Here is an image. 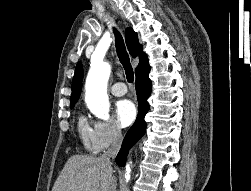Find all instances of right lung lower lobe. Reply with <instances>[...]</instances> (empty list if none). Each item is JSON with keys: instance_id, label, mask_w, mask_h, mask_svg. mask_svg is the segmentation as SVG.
I'll return each instance as SVG.
<instances>
[{"instance_id": "obj_1", "label": "right lung lower lobe", "mask_w": 251, "mask_h": 191, "mask_svg": "<svg viewBox=\"0 0 251 191\" xmlns=\"http://www.w3.org/2000/svg\"><path fill=\"white\" fill-rule=\"evenodd\" d=\"M151 90L152 82L149 79V76L136 79V93L139 104L138 116L135 123L128 130L123 140L122 147L115 159L116 163L119 166H125L129 148L134 145L145 133L146 122L144 120V117L149 111V104L147 102V98L150 96Z\"/></svg>"}]
</instances>
